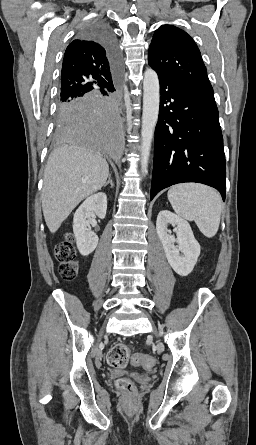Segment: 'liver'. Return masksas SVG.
<instances>
[{
	"label": "liver",
	"instance_id": "liver-1",
	"mask_svg": "<svg viewBox=\"0 0 256 445\" xmlns=\"http://www.w3.org/2000/svg\"><path fill=\"white\" fill-rule=\"evenodd\" d=\"M108 175L103 157L68 145L55 148L45 167L42 189V210L50 232L55 233L83 199L100 190Z\"/></svg>",
	"mask_w": 256,
	"mask_h": 445
}]
</instances>
